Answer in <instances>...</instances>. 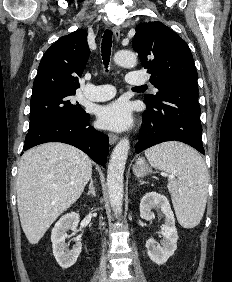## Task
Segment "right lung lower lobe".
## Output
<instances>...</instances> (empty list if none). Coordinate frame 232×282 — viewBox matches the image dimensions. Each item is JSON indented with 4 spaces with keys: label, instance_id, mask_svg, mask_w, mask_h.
I'll use <instances>...</instances> for the list:
<instances>
[{
    "label": "right lung lower lobe",
    "instance_id": "98d812e1",
    "mask_svg": "<svg viewBox=\"0 0 232 282\" xmlns=\"http://www.w3.org/2000/svg\"><path fill=\"white\" fill-rule=\"evenodd\" d=\"M89 114L82 118L61 117L34 130L25 137L24 151L46 142H62L84 151L105 167L109 153L108 137L89 125ZM23 153V152H22Z\"/></svg>",
    "mask_w": 232,
    "mask_h": 282
}]
</instances>
